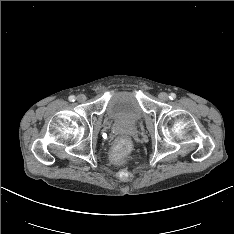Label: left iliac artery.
I'll list each match as a JSON object with an SVG mask.
<instances>
[{
    "label": "left iliac artery",
    "instance_id": "1",
    "mask_svg": "<svg viewBox=\"0 0 234 234\" xmlns=\"http://www.w3.org/2000/svg\"><path fill=\"white\" fill-rule=\"evenodd\" d=\"M169 98H170L171 100H174V99L176 98V94H175V93H171V94L169 95Z\"/></svg>",
    "mask_w": 234,
    "mask_h": 234
}]
</instances>
